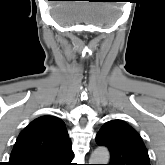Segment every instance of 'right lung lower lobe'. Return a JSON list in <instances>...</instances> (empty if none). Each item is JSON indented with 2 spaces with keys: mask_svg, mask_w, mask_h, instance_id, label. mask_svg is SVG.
Masks as SVG:
<instances>
[{
  "mask_svg": "<svg viewBox=\"0 0 165 165\" xmlns=\"http://www.w3.org/2000/svg\"><path fill=\"white\" fill-rule=\"evenodd\" d=\"M73 159V152L71 144H67L63 147L59 154L52 158L49 162L44 165H73L71 163Z\"/></svg>",
  "mask_w": 165,
  "mask_h": 165,
  "instance_id": "1",
  "label": "right lung lower lobe"
}]
</instances>
